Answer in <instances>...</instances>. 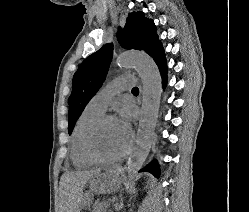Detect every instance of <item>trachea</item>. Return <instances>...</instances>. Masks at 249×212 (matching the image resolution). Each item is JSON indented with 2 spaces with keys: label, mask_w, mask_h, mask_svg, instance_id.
Masks as SVG:
<instances>
[{
  "label": "trachea",
  "mask_w": 249,
  "mask_h": 212,
  "mask_svg": "<svg viewBox=\"0 0 249 212\" xmlns=\"http://www.w3.org/2000/svg\"><path fill=\"white\" fill-rule=\"evenodd\" d=\"M132 90H139L138 87H134Z\"/></svg>",
  "instance_id": "1"
}]
</instances>
